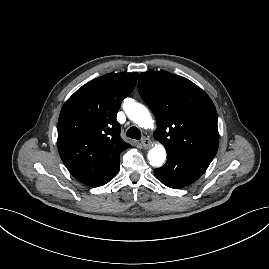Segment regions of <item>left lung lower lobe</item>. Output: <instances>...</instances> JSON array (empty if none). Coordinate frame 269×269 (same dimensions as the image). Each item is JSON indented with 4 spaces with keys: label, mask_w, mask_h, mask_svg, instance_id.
<instances>
[{
    "label": "left lung lower lobe",
    "mask_w": 269,
    "mask_h": 269,
    "mask_svg": "<svg viewBox=\"0 0 269 269\" xmlns=\"http://www.w3.org/2000/svg\"><path fill=\"white\" fill-rule=\"evenodd\" d=\"M167 162L154 170L164 185L179 189L196 181L208 168L214 156L184 149H168Z\"/></svg>",
    "instance_id": "obj_1"
}]
</instances>
